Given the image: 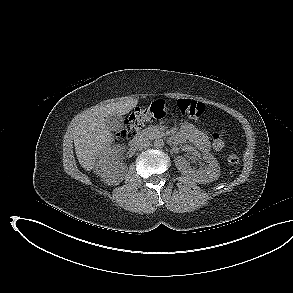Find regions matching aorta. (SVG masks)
<instances>
[{"label": "aorta", "mask_w": 293, "mask_h": 293, "mask_svg": "<svg viewBox=\"0 0 293 293\" xmlns=\"http://www.w3.org/2000/svg\"><path fill=\"white\" fill-rule=\"evenodd\" d=\"M154 147H155L156 149H161V148H163V147H164V141H163V139H156V140L154 141Z\"/></svg>", "instance_id": "obj_1"}]
</instances>
